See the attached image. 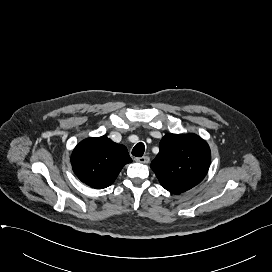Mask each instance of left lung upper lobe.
Returning a JSON list of instances; mask_svg holds the SVG:
<instances>
[{
  "mask_svg": "<svg viewBox=\"0 0 272 272\" xmlns=\"http://www.w3.org/2000/svg\"><path fill=\"white\" fill-rule=\"evenodd\" d=\"M211 152L196 134H167L151 163L160 184L173 194L185 192L200 183L208 172Z\"/></svg>",
  "mask_w": 272,
  "mask_h": 272,
  "instance_id": "1",
  "label": "left lung upper lobe"
}]
</instances>
